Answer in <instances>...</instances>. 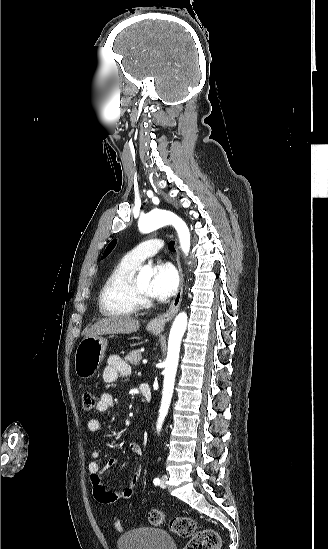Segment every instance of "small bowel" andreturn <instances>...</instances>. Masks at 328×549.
Listing matches in <instances>:
<instances>
[{
    "label": "small bowel",
    "mask_w": 328,
    "mask_h": 549,
    "mask_svg": "<svg viewBox=\"0 0 328 549\" xmlns=\"http://www.w3.org/2000/svg\"><path fill=\"white\" fill-rule=\"evenodd\" d=\"M131 373L130 366L118 355H110L107 359V364L102 372V378L105 383H114L119 376H129ZM114 405L112 394L105 392L100 395L95 409L99 413H105ZM101 428V423L96 418H91L87 422V429L92 432H98ZM130 452L139 458L142 455V447L138 442L131 441L128 444ZM101 452L98 449H93L90 453V461L88 463V472L90 481L93 486L95 499L102 504H112L120 500L130 499L134 493V489L141 476V464L137 463L128 484L122 490H110L102 481L103 471L99 465ZM117 462L116 457H111L105 465V469H109Z\"/></svg>",
    "instance_id": "1"
}]
</instances>
